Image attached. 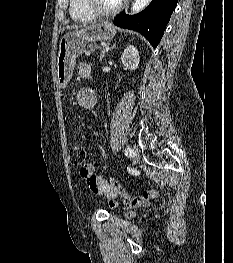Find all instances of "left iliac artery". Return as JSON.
I'll use <instances>...</instances> for the list:
<instances>
[{"label":"left iliac artery","mask_w":233,"mask_h":263,"mask_svg":"<svg viewBox=\"0 0 233 263\" xmlns=\"http://www.w3.org/2000/svg\"><path fill=\"white\" fill-rule=\"evenodd\" d=\"M131 154H132V149L129 148V147L126 148V149H125V155H126V156H130Z\"/></svg>","instance_id":"obj_1"}]
</instances>
